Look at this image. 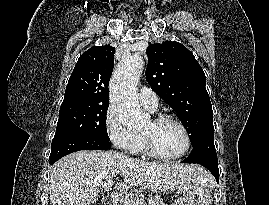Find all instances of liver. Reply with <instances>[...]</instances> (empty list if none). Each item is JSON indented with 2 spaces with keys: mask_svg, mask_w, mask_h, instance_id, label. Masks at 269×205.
<instances>
[{
  "mask_svg": "<svg viewBox=\"0 0 269 205\" xmlns=\"http://www.w3.org/2000/svg\"><path fill=\"white\" fill-rule=\"evenodd\" d=\"M122 179L115 190L127 191L135 186L152 192H168L190 182L207 187L211 175L198 165L144 162L115 151L82 150L54 164L50 178L51 205H89L98 200L103 184Z\"/></svg>",
  "mask_w": 269,
  "mask_h": 205,
  "instance_id": "6515ba94",
  "label": "liver"
}]
</instances>
